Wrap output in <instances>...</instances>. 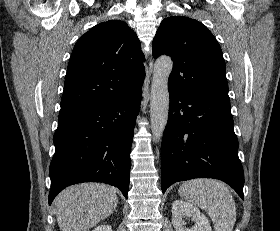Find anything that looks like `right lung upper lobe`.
Segmentation results:
<instances>
[{"instance_id":"cb5924a9","label":"right lung upper lobe","mask_w":280,"mask_h":231,"mask_svg":"<svg viewBox=\"0 0 280 231\" xmlns=\"http://www.w3.org/2000/svg\"><path fill=\"white\" fill-rule=\"evenodd\" d=\"M140 48L121 20L100 23L81 36L69 60L60 114L140 89L145 77Z\"/></svg>"}]
</instances>
